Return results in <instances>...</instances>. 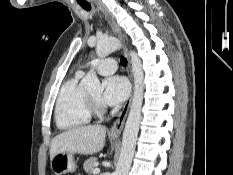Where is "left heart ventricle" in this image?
Instances as JSON below:
<instances>
[{
  "label": "left heart ventricle",
  "mask_w": 233,
  "mask_h": 175,
  "mask_svg": "<svg viewBox=\"0 0 233 175\" xmlns=\"http://www.w3.org/2000/svg\"><path fill=\"white\" fill-rule=\"evenodd\" d=\"M89 96L94 100H97V101L101 100V93L100 92L89 94Z\"/></svg>",
  "instance_id": "obj_1"
}]
</instances>
